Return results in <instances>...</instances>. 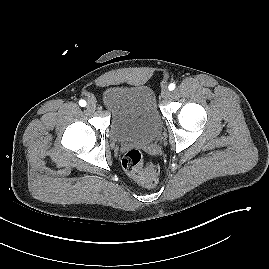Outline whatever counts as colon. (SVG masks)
Returning <instances> with one entry per match:
<instances>
[{
  "mask_svg": "<svg viewBox=\"0 0 269 269\" xmlns=\"http://www.w3.org/2000/svg\"><path fill=\"white\" fill-rule=\"evenodd\" d=\"M122 166L133 178L146 186L156 183V169L152 163H145L142 153L137 149L129 150L123 157Z\"/></svg>",
  "mask_w": 269,
  "mask_h": 269,
  "instance_id": "5ec220e1",
  "label": "colon"
}]
</instances>
